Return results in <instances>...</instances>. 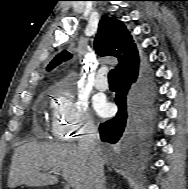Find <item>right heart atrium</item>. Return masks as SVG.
Here are the masks:
<instances>
[{
    "instance_id": "obj_1",
    "label": "right heart atrium",
    "mask_w": 188,
    "mask_h": 189,
    "mask_svg": "<svg viewBox=\"0 0 188 189\" xmlns=\"http://www.w3.org/2000/svg\"><path fill=\"white\" fill-rule=\"evenodd\" d=\"M52 118V132L61 139L75 140L91 134L96 124L87 103L67 88L57 87Z\"/></svg>"
}]
</instances>
